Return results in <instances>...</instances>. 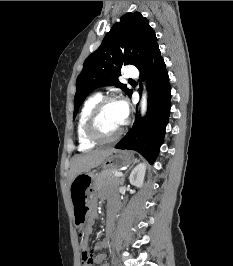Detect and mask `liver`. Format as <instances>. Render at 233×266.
Masks as SVG:
<instances>
[{
	"instance_id": "1",
	"label": "liver",
	"mask_w": 233,
	"mask_h": 266,
	"mask_svg": "<svg viewBox=\"0 0 233 266\" xmlns=\"http://www.w3.org/2000/svg\"><path fill=\"white\" fill-rule=\"evenodd\" d=\"M112 152L113 149L93 150L74 156L68 175L69 184L79 174L101 165L104 159Z\"/></svg>"
}]
</instances>
